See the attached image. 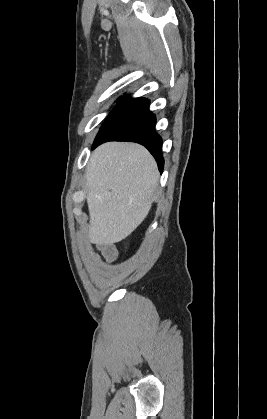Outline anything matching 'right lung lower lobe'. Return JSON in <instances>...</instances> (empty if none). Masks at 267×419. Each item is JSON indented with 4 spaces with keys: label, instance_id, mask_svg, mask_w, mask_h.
Masks as SVG:
<instances>
[{
    "label": "right lung lower lobe",
    "instance_id": "right-lung-lower-lobe-1",
    "mask_svg": "<svg viewBox=\"0 0 267 419\" xmlns=\"http://www.w3.org/2000/svg\"><path fill=\"white\" fill-rule=\"evenodd\" d=\"M156 118L145 98H125L108 115L93 143L129 141L145 146L163 170L162 139L155 131Z\"/></svg>",
    "mask_w": 267,
    "mask_h": 419
}]
</instances>
